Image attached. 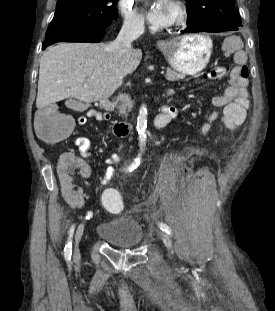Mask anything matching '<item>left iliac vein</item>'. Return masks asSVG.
<instances>
[{"instance_id": "left-iliac-vein-1", "label": "left iliac vein", "mask_w": 275, "mask_h": 311, "mask_svg": "<svg viewBox=\"0 0 275 311\" xmlns=\"http://www.w3.org/2000/svg\"><path fill=\"white\" fill-rule=\"evenodd\" d=\"M158 235L161 238V240L164 242L165 246L171 250L172 249V241H171L170 236L164 231H159Z\"/></svg>"}]
</instances>
